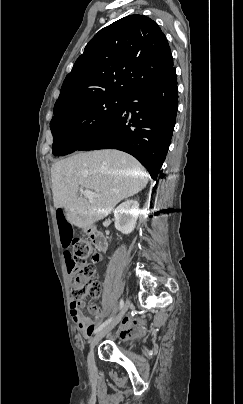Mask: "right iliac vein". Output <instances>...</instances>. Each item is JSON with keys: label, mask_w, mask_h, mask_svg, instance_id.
<instances>
[{"label": "right iliac vein", "mask_w": 243, "mask_h": 404, "mask_svg": "<svg viewBox=\"0 0 243 404\" xmlns=\"http://www.w3.org/2000/svg\"><path fill=\"white\" fill-rule=\"evenodd\" d=\"M130 305V301L127 299L125 305L123 306L122 310L120 313L107 325L105 326L101 331H99L93 340L91 341L90 344V351L88 353L87 357V363H88V369L90 371H93L95 369V358H94V347L98 344V342L107 334L109 333L122 319V317L125 315L127 312L128 308Z\"/></svg>", "instance_id": "obj_1"}]
</instances>
